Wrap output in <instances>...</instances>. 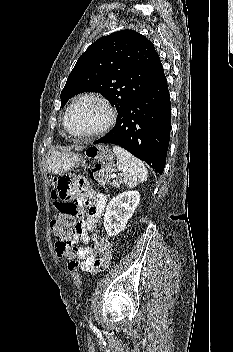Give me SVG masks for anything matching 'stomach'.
Wrapping results in <instances>:
<instances>
[{
  "label": "stomach",
  "instance_id": "1",
  "mask_svg": "<svg viewBox=\"0 0 233 352\" xmlns=\"http://www.w3.org/2000/svg\"><path fill=\"white\" fill-rule=\"evenodd\" d=\"M82 158L75 153L51 151L46 157V167L51 173H64L77 166Z\"/></svg>",
  "mask_w": 233,
  "mask_h": 352
}]
</instances>
